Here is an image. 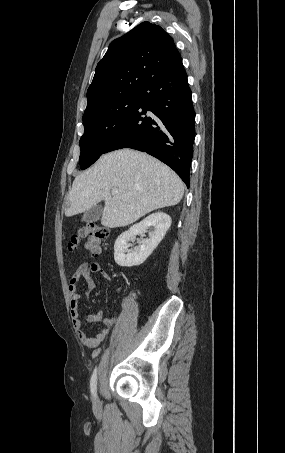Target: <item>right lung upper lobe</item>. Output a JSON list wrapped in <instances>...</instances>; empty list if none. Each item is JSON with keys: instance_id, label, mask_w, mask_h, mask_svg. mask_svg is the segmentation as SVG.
Instances as JSON below:
<instances>
[{"instance_id": "1", "label": "right lung upper lobe", "mask_w": 285, "mask_h": 453, "mask_svg": "<svg viewBox=\"0 0 285 453\" xmlns=\"http://www.w3.org/2000/svg\"><path fill=\"white\" fill-rule=\"evenodd\" d=\"M182 63L173 39L158 25L142 22L109 45L87 91L88 111L128 93Z\"/></svg>"}]
</instances>
